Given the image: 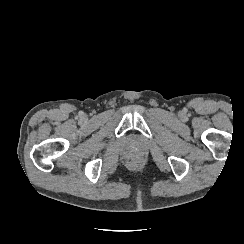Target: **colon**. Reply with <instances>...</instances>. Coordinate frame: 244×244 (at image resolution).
<instances>
[{
	"instance_id": "5ec220e1",
	"label": "colon",
	"mask_w": 244,
	"mask_h": 244,
	"mask_svg": "<svg viewBox=\"0 0 244 244\" xmlns=\"http://www.w3.org/2000/svg\"><path fill=\"white\" fill-rule=\"evenodd\" d=\"M128 165H129L131 168H136V167L139 165V160H138L136 157H131V158L128 160Z\"/></svg>"
}]
</instances>
